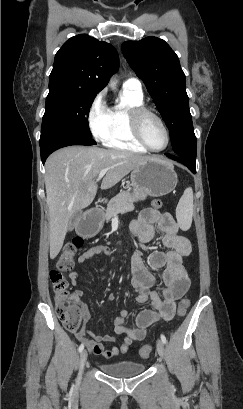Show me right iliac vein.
Returning <instances> with one entry per match:
<instances>
[{"label": "right iliac vein", "instance_id": "63e3f726", "mask_svg": "<svg viewBox=\"0 0 243 409\" xmlns=\"http://www.w3.org/2000/svg\"><path fill=\"white\" fill-rule=\"evenodd\" d=\"M87 357H88V353L86 350H84L80 355V362H79V373L80 374L82 373L84 369L85 363L87 361Z\"/></svg>", "mask_w": 243, "mask_h": 409}]
</instances>
